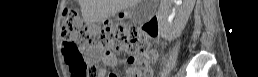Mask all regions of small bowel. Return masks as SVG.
<instances>
[{
  "label": "small bowel",
  "instance_id": "c3829d8e",
  "mask_svg": "<svg viewBox=\"0 0 258 77\" xmlns=\"http://www.w3.org/2000/svg\"><path fill=\"white\" fill-rule=\"evenodd\" d=\"M99 56H100V54H99L98 52H96V51H90V52L88 53V59H89L90 62L95 61ZM157 56H158V54H157V51H156V50L153 49V50L150 51V53H149V58H150L151 60H153V61L156 60V59H157ZM103 57H104V60H105V64H106V65L115 66V65L117 64L118 57H117L116 54H114V53H108V54H105ZM104 73H105L104 68H101V69L99 70V74H104ZM111 77H113V76H111ZM114 77H115V76H114Z\"/></svg>",
  "mask_w": 258,
  "mask_h": 77
}]
</instances>
